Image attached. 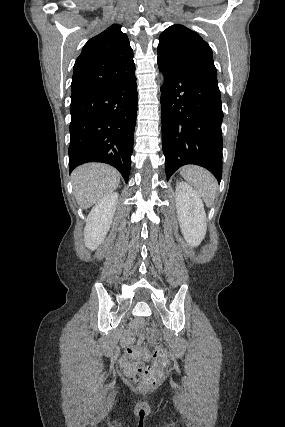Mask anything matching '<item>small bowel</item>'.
I'll use <instances>...</instances> for the list:
<instances>
[{"label": "small bowel", "instance_id": "1", "mask_svg": "<svg viewBox=\"0 0 285 427\" xmlns=\"http://www.w3.org/2000/svg\"><path fill=\"white\" fill-rule=\"evenodd\" d=\"M121 363L124 365V367L127 369L128 373H132L133 372V364L134 361L129 359L126 356H123L121 358Z\"/></svg>", "mask_w": 285, "mask_h": 427}]
</instances>
